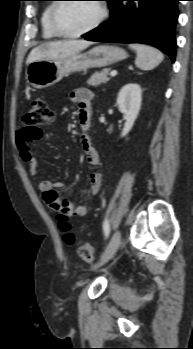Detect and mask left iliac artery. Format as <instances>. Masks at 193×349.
<instances>
[{
  "mask_svg": "<svg viewBox=\"0 0 193 349\" xmlns=\"http://www.w3.org/2000/svg\"><path fill=\"white\" fill-rule=\"evenodd\" d=\"M103 231L105 236L108 237L110 233V225L107 219L103 222Z\"/></svg>",
  "mask_w": 193,
  "mask_h": 349,
  "instance_id": "left-iliac-artery-1",
  "label": "left iliac artery"
}]
</instances>
